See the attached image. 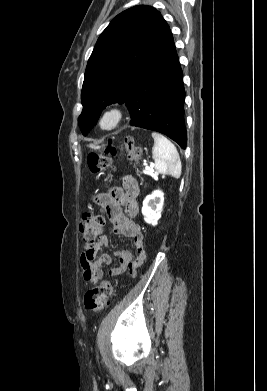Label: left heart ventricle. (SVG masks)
I'll use <instances>...</instances> for the list:
<instances>
[{
	"label": "left heart ventricle",
	"instance_id": "b2bd125f",
	"mask_svg": "<svg viewBox=\"0 0 267 391\" xmlns=\"http://www.w3.org/2000/svg\"><path fill=\"white\" fill-rule=\"evenodd\" d=\"M112 123H113V118L111 116L106 117L103 122L104 126H110Z\"/></svg>",
	"mask_w": 267,
	"mask_h": 391
}]
</instances>
